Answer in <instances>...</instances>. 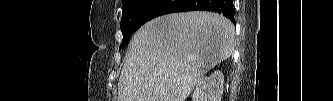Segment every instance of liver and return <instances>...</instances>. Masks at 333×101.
Here are the masks:
<instances>
[{
	"instance_id": "6515ba94",
	"label": "liver",
	"mask_w": 333,
	"mask_h": 101,
	"mask_svg": "<svg viewBox=\"0 0 333 101\" xmlns=\"http://www.w3.org/2000/svg\"><path fill=\"white\" fill-rule=\"evenodd\" d=\"M235 28L218 13L157 17L133 36L118 101H185L198 81L234 50Z\"/></svg>"
}]
</instances>
